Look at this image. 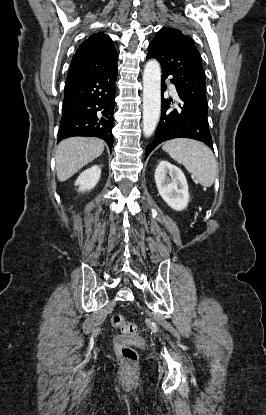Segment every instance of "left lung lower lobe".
<instances>
[{
	"instance_id": "obj_1",
	"label": "left lung lower lobe",
	"mask_w": 266,
	"mask_h": 415,
	"mask_svg": "<svg viewBox=\"0 0 266 415\" xmlns=\"http://www.w3.org/2000/svg\"><path fill=\"white\" fill-rule=\"evenodd\" d=\"M148 58L150 57L147 55ZM167 77L168 75L162 73V93L165 90L164 82ZM171 82L173 83L172 80ZM176 90L180 98L177 108H170V100L162 99L161 119L153 141L146 147L145 160L156 146L163 141L174 138H191L202 141L213 150L207 115L194 106L177 87Z\"/></svg>"
}]
</instances>
